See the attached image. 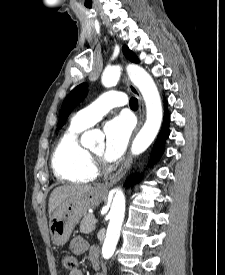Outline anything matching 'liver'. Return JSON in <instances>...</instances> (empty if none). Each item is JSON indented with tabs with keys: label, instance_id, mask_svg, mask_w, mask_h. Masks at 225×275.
I'll use <instances>...</instances> for the list:
<instances>
[{
	"label": "liver",
	"instance_id": "liver-1",
	"mask_svg": "<svg viewBox=\"0 0 225 275\" xmlns=\"http://www.w3.org/2000/svg\"><path fill=\"white\" fill-rule=\"evenodd\" d=\"M93 187L91 185H83V184H71L64 185L55 188L50 194L49 198V215L53 213L54 209L66 198L71 196L82 195L91 191Z\"/></svg>",
	"mask_w": 225,
	"mask_h": 275
}]
</instances>
